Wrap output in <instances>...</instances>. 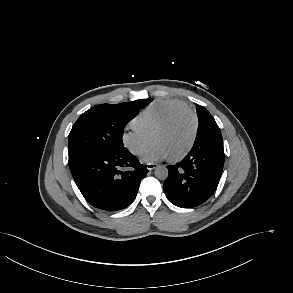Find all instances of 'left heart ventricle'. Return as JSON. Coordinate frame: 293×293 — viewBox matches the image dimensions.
<instances>
[{
	"mask_svg": "<svg viewBox=\"0 0 293 293\" xmlns=\"http://www.w3.org/2000/svg\"><path fill=\"white\" fill-rule=\"evenodd\" d=\"M193 120L190 116L178 119L168 129L157 133L152 141L162 144L170 157L183 152L189 145L193 135Z\"/></svg>",
	"mask_w": 293,
	"mask_h": 293,
	"instance_id": "b2bd125f",
	"label": "left heart ventricle"
}]
</instances>
